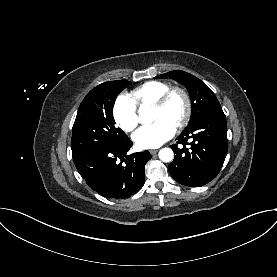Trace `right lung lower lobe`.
<instances>
[{"label": "right lung lower lobe", "instance_id": "right-lung-lower-lobe-1", "mask_svg": "<svg viewBox=\"0 0 277 277\" xmlns=\"http://www.w3.org/2000/svg\"><path fill=\"white\" fill-rule=\"evenodd\" d=\"M131 146L129 138L123 144L98 145L73 160L92 190L107 198H125L143 187L145 164L151 158L148 151L126 155Z\"/></svg>", "mask_w": 277, "mask_h": 277}]
</instances>
